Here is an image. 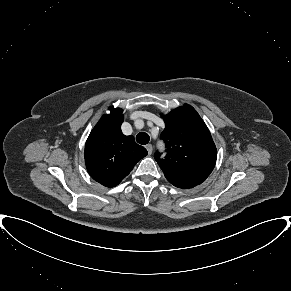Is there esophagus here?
<instances>
[{
    "label": "esophagus",
    "mask_w": 291,
    "mask_h": 291,
    "mask_svg": "<svg viewBox=\"0 0 291 291\" xmlns=\"http://www.w3.org/2000/svg\"><path fill=\"white\" fill-rule=\"evenodd\" d=\"M145 148L147 149L148 154L151 155V154H152V151H153V147H152V145H151V144H147V145L145 146Z\"/></svg>",
    "instance_id": "1"
}]
</instances>
